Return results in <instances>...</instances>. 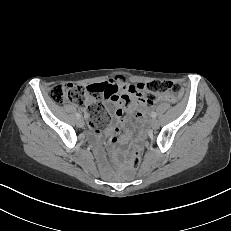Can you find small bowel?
<instances>
[{"mask_svg":"<svg viewBox=\"0 0 231 231\" xmlns=\"http://www.w3.org/2000/svg\"><path fill=\"white\" fill-rule=\"evenodd\" d=\"M101 87H103V90H99ZM141 91L142 86L140 84L129 83L123 75H117L108 81L94 84L91 87V95L101 97L107 103L108 110L118 118V121H120L125 111L132 114L136 113L139 119L147 115L148 108L143 101ZM92 96L88 97L87 101H91L93 99ZM160 100L162 102H171L174 100V97L168 94L162 95ZM91 131L96 138H103L102 132L98 127L91 125ZM119 132L120 127L118 122H116L107 130V140L110 143L116 142Z\"/></svg>","mask_w":231,"mask_h":231,"instance_id":"small-bowel-1","label":"small bowel"}]
</instances>
